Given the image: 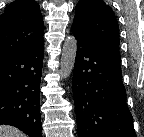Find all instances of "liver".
<instances>
[{"instance_id": "liver-1", "label": "liver", "mask_w": 144, "mask_h": 137, "mask_svg": "<svg viewBox=\"0 0 144 137\" xmlns=\"http://www.w3.org/2000/svg\"><path fill=\"white\" fill-rule=\"evenodd\" d=\"M0 137H26L19 129L9 126L0 125Z\"/></svg>"}]
</instances>
